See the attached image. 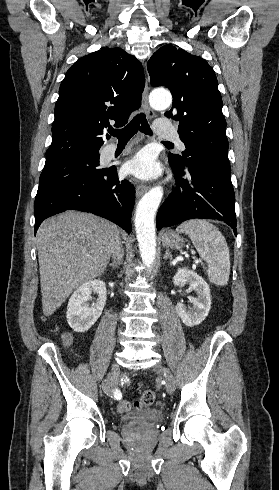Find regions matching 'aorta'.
Here are the masks:
<instances>
[{
  "instance_id": "aorta-1",
  "label": "aorta",
  "mask_w": 279,
  "mask_h": 490,
  "mask_svg": "<svg viewBox=\"0 0 279 490\" xmlns=\"http://www.w3.org/2000/svg\"><path fill=\"white\" fill-rule=\"evenodd\" d=\"M150 104L154 109L165 110L172 103V96L164 90L150 94ZM163 197L160 186L149 190L139 201L135 213V230L143 264L147 267L154 262L156 256L155 215Z\"/></svg>"
}]
</instances>
